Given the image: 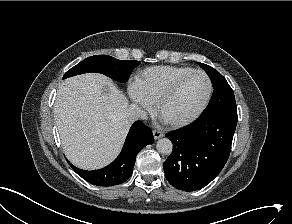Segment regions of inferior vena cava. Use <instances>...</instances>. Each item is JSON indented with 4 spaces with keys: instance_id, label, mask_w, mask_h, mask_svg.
<instances>
[{
    "instance_id": "inferior-vena-cava-1",
    "label": "inferior vena cava",
    "mask_w": 292,
    "mask_h": 224,
    "mask_svg": "<svg viewBox=\"0 0 292 224\" xmlns=\"http://www.w3.org/2000/svg\"><path fill=\"white\" fill-rule=\"evenodd\" d=\"M127 117L130 121L146 119V112L136 104H131L127 109Z\"/></svg>"
}]
</instances>
